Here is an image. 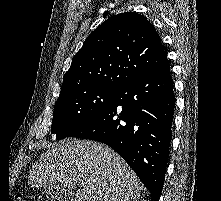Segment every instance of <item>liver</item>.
<instances>
[{
	"instance_id": "6515ba94",
	"label": "liver",
	"mask_w": 221,
	"mask_h": 201,
	"mask_svg": "<svg viewBox=\"0 0 221 201\" xmlns=\"http://www.w3.org/2000/svg\"><path fill=\"white\" fill-rule=\"evenodd\" d=\"M32 187L61 184L71 191L70 201H132L143 188L138 176L109 146L67 139L52 144L32 165ZM82 190L73 191L76 186Z\"/></svg>"
}]
</instances>
